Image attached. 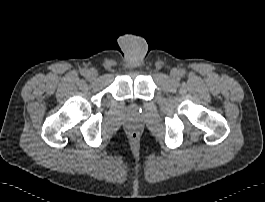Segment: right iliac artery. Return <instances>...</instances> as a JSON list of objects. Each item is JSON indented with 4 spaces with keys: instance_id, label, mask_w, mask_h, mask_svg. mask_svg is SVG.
Instances as JSON below:
<instances>
[{
    "instance_id": "obj_1",
    "label": "right iliac artery",
    "mask_w": 265,
    "mask_h": 202,
    "mask_svg": "<svg viewBox=\"0 0 265 202\" xmlns=\"http://www.w3.org/2000/svg\"><path fill=\"white\" fill-rule=\"evenodd\" d=\"M82 75L85 76V77L87 78L88 75H89V70H86V69L83 70V71H82Z\"/></svg>"
}]
</instances>
